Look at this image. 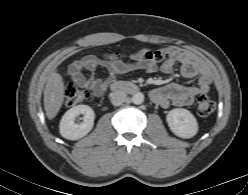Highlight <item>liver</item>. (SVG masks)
I'll list each match as a JSON object with an SVG mask.
<instances>
[{"label":"liver","instance_id":"6515ba94","mask_svg":"<svg viewBox=\"0 0 248 195\" xmlns=\"http://www.w3.org/2000/svg\"><path fill=\"white\" fill-rule=\"evenodd\" d=\"M62 76L56 70L51 72L44 90V109L49 120L59 112L65 97Z\"/></svg>","mask_w":248,"mask_h":195}]
</instances>
